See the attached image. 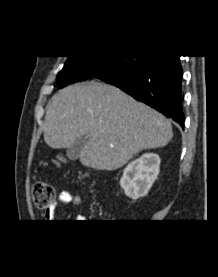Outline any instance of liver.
Listing matches in <instances>:
<instances>
[{
    "instance_id": "6515ba94",
    "label": "liver",
    "mask_w": 218,
    "mask_h": 277,
    "mask_svg": "<svg viewBox=\"0 0 218 277\" xmlns=\"http://www.w3.org/2000/svg\"><path fill=\"white\" fill-rule=\"evenodd\" d=\"M44 140L53 149L88 138L80 162L96 170H115L141 150L166 146L172 126L162 114L120 89L100 82L72 85L49 101Z\"/></svg>"
}]
</instances>
